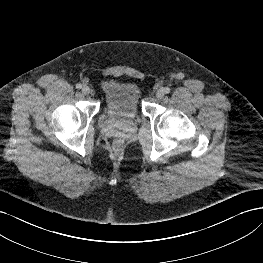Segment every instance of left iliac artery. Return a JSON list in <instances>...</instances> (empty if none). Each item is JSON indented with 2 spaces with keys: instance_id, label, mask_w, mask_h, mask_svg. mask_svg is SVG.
Returning a JSON list of instances; mask_svg holds the SVG:
<instances>
[{
  "instance_id": "obj_1",
  "label": "left iliac artery",
  "mask_w": 263,
  "mask_h": 263,
  "mask_svg": "<svg viewBox=\"0 0 263 263\" xmlns=\"http://www.w3.org/2000/svg\"><path fill=\"white\" fill-rule=\"evenodd\" d=\"M164 92H165L166 94L169 93V92H170V88H169V87L164 88Z\"/></svg>"
}]
</instances>
